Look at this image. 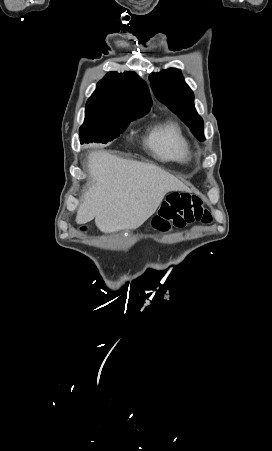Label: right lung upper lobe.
Here are the masks:
<instances>
[{
  "label": "right lung upper lobe",
  "instance_id": "cb5924a9",
  "mask_svg": "<svg viewBox=\"0 0 272 451\" xmlns=\"http://www.w3.org/2000/svg\"><path fill=\"white\" fill-rule=\"evenodd\" d=\"M151 105L148 87L135 72H109L98 82L86 109L127 110L150 108Z\"/></svg>",
  "mask_w": 272,
  "mask_h": 451
}]
</instances>
